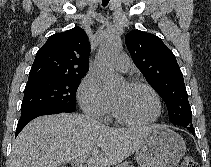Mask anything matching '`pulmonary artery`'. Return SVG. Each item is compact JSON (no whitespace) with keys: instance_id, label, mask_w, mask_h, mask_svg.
<instances>
[{"instance_id":"1","label":"pulmonary artery","mask_w":211,"mask_h":167,"mask_svg":"<svg viewBox=\"0 0 211 167\" xmlns=\"http://www.w3.org/2000/svg\"><path fill=\"white\" fill-rule=\"evenodd\" d=\"M113 67L120 72H127L131 68V60L126 54H119L113 61Z\"/></svg>"}]
</instances>
